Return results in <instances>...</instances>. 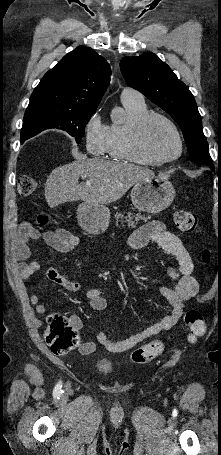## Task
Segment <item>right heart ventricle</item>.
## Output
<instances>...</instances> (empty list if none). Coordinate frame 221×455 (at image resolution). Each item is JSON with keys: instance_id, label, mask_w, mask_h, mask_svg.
Here are the masks:
<instances>
[{"instance_id": "obj_1", "label": "right heart ventricle", "mask_w": 221, "mask_h": 455, "mask_svg": "<svg viewBox=\"0 0 221 455\" xmlns=\"http://www.w3.org/2000/svg\"><path fill=\"white\" fill-rule=\"evenodd\" d=\"M127 111V120L123 124H112L108 129L105 153L113 160L128 161L140 164H152L150 160L137 153L131 145L133 125L149 113L145 103L123 102Z\"/></svg>"}]
</instances>
